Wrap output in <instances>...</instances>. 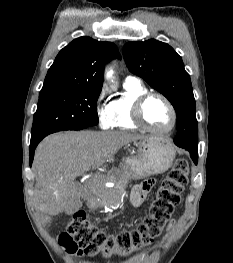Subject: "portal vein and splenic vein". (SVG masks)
<instances>
[{"label": "portal vein and splenic vein", "mask_w": 233, "mask_h": 263, "mask_svg": "<svg viewBox=\"0 0 233 263\" xmlns=\"http://www.w3.org/2000/svg\"><path fill=\"white\" fill-rule=\"evenodd\" d=\"M98 165H100V164H96V165H94L93 168L96 167V166H98Z\"/></svg>", "instance_id": "portal-vein-and-splenic-vein-1"}]
</instances>
